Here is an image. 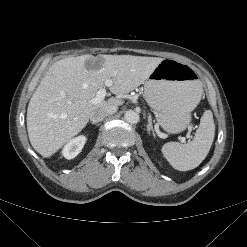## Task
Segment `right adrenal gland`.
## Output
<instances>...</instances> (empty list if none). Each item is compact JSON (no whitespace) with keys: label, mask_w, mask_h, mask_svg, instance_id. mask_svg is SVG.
<instances>
[{"label":"right adrenal gland","mask_w":247,"mask_h":247,"mask_svg":"<svg viewBox=\"0 0 247 247\" xmlns=\"http://www.w3.org/2000/svg\"><path fill=\"white\" fill-rule=\"evenodd\" d=\"M91 124H96V123H94V122H91ZM96 125H98V124H96Z\"/></svg>","instance_id":"1"}]
</instances>
